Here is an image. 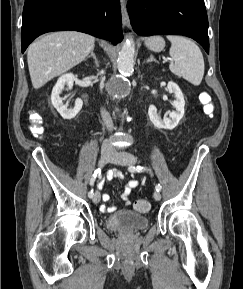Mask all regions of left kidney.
I'll return each mask as SVG.
<instances>
[{
    "label": "left kidney",
    "instance_id": "obj_1",
    "mask_svg": "<svg viewBox=\"0 0 243 289\" xmlns=\"http://www.w3.org/2000/svg\"><path fill=\"white\" fill-rule=\"evenodd\" d=\"M167 89L170 93H174L175 95L173 105L176 111L170 112L169 118L164 117L161 119L157 114L156 107L154 105H150L148 109V115L155 127L172 130L178 125L179 121L184 115L185 100L182 91L176 83L170 81L167 85Z\"/></svg>",
    "mask_w": 243,
    "mask_h": 289
}]
</instances>
